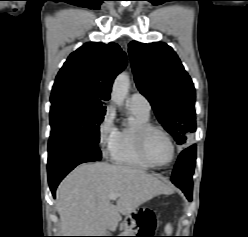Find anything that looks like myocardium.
Wrapping results in <instances>:
<instances>
[{"instance_id": "obj_1", "label": "myocardium", "mask_w": 248, "mask_h": 237, "mask_svg": "<svg viewBox=\"0 0 248 237\" xmlns=\"http://www.w3.org/2000/svg\"><path fill=\"white\" fill-rule=\"evenodd\" d=\"M152 131H158V132L162 133L170 143L171 155H170L169 160L166 163L156 164V163L152 162L147 155L146 138H147L148 134ZM135 140H136V146H137V150L139 152V155L151 167L156 168V169H162V168L167 167L168 165H170L173 162L175 155H176V146H175L174 140H173L172 136L170 135V133L166 129H164L163 127L158 126V125H154L151 123L141 125L136 130Z\"/></svg>"}]
</instances>
